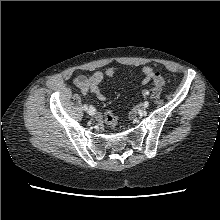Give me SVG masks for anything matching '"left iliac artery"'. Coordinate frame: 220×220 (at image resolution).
<instances>
[{
	"label": "left iliac artery",
	"mask_w": 220,
	"mask_h": 220,
	"mask_svg": "<svg viewBox=\"0 0 220 220\" xmlns=\"http://www.w3.org/2000/svg\"><path fill=\"white\" fill-rule=\"evenodd\" d=\"M144 95H149V91H148V90H145V91H144ZM144 104H145L146 106H149V102H148V101H145Z\"/></svg>",
	"instance_id": "44dca946"
}]
</instances>
